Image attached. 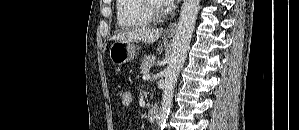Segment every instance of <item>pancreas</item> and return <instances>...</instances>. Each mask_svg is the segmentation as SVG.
I'll list each match as a JSON object with an SVG mask.
<instances>
[{
	"instance_id": "obj_1",
	"label": "pancreas",
	"mask_w": 299,
	"mask_h": 130,
	"mask_svg": "<svg viewBox=\"0 0 299 130\" xmlns=\"http://www.w3.org/2000/svg\"><path fill=\"white\" fill-rule=\"evenodd\" d=\"M154 63H155L154 55H145L140 67L141 73L147 74L150 68L153 67Z\"/></svg>"
}]
</instances>
